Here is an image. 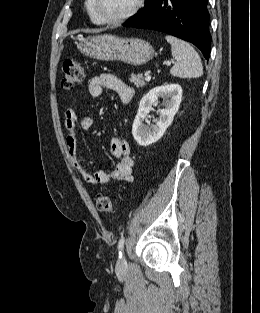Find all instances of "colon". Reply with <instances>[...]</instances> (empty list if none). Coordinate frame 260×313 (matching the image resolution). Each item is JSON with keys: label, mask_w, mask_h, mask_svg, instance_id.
<instances>
[{"label": "colon", "mask_w": 260, "mask_h": 313, "mask_svg": "<svg viewBox=\"0 0 260 313\" xmlns=\"http://www.w3.org/2000/svg\"><path fill=\"white\" fill-rule=\"evenodd\" d=\"M62 87L65 90H72L81 85L84 81V70L76 58H68L63 63ZM96 208L100 212L109 213L112 211V200L108 195L96 197Z\"/></svg>", "instance_id": "colon-1"}]
</instances>
